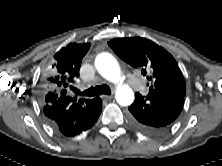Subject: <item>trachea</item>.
Here are the masks:
<instances>
[{
    "instance_id": "1",
    "label": "trachea",
    "mask_w": 222,
    "mask_h": 166,
    "mask_svg": "<svg viewBox=\"0 0 222 166\" xmlns=\"http://www.w3.org/2000/svg\"><path fill=\"white\" fill-rule=\"evenodd\" d=\"M74 92L78 95H82V96H97V95H101V94H107L110 95L111 94V89L109 86L107 85H101V86H96V87H91L83 92L74 89Z\"/></svg>"
}]
</instances>
